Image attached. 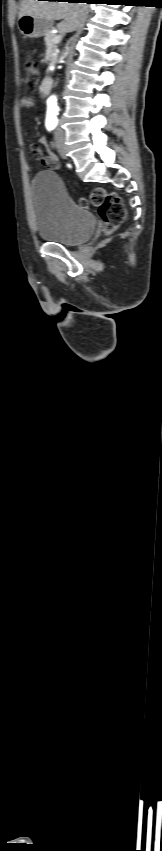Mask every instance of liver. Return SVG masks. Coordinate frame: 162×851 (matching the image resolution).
<instances>
[{
    "mask_svg": "<svg viewBox=\"0 0 162 851\" xmlns=\"http://www.w3.org/2000/svg\"><path fill=\"white\" fill-rule=\"evenodd\" d=\"M87 8L85 3L22 0L19 17L30 15L50 21L63 20L59 27L64 32H70L81 25Z\"/></svg>",
    "mask_w": 162,
    "mask_h": 851,
    "instance_id": "1",
    "label": "liver"
}]
</instances>
